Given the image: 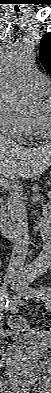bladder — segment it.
<instances>
[{
	"mask_svg": "<svg viewBox=\"0 0 51 393\" xmlns=\"http://www.w3.org/2000/svg\"><path fill=\"white\" fill-rule=\"evenodd\" d=\"M20 369L22 370L25 378L23 379L26 383H36L39 379L46 376L50 371L49 362L46 359H42L38 363L21 362ZM32 385V384H29Z\"/></svg>",
	"mask_w": 51,
	"mask_h": 393,
	"instance_id": "bladder-1",
	"label": "bladder"
}]
</instances>
